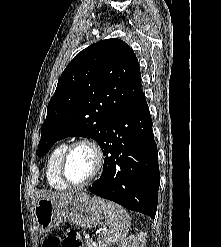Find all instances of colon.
<instances>
[{
    "label": "colon",
    "instance_id": "5ec220e1",
    "mask_svg": "<svg viewBox=\"0 0 221 247\" xmlns=\"http://www.w3.org/2000/svg\"><path fill=\"white\" fill-rule=\"evenodd\" d=\"M83 243L77 232L70 230L63 239L49 238L43 242V247H82Z\"/></svg>",
    "mask_w": 221,
    "mask_h": 247
}]
</instances>
